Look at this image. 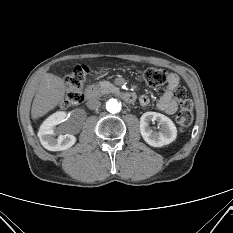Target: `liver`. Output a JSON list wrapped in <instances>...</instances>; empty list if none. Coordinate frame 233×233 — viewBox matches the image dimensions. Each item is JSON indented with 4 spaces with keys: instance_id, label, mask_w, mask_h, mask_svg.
Returning a JSON list of instances; mask_svg holds the SVG:
<instances>
[{
    "instance_id": "liver-1",
    "label": "liver",
    "mask_w": 233,
    "mask_h": 233,
    "mask_svg": "<svg viewBox=\"0 0 233 233\" xmlns=\"http://www.w3.org/2000/svg\"><path fill=\"white\" fill-rule=\"evenodd\" d=\"M65 92V82L61 77L44 73L32 103V119L42 117L54 109L64 99Z\"/></svg>"
}]
</instances>
